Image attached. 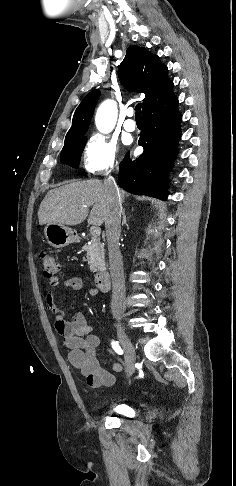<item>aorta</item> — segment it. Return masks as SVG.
Instances as JSON below:
<instances>
[{
  "instance_id": "aorta-1",
  "label": "aorta",
  "mask_w": 236,
  "mask_h": 486,
  "mask_svg": "<svg viewBox=\"0 0 236 486\" xmlns=\"http://www.w3.org/2000/svg\"><path fill=\"white\" fill-rule=\"evenodd\" d=\"M117 108L114 102L106 101L98 108L96 113V126L100 132L108 133L115 125Z\"/></svg>"
}]
</instances>
